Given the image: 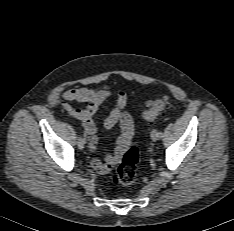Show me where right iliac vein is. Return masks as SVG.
<instances>
[{"instance_id": "63e3f726", "label": "right iliac vein", "mask_w": 234, "mask_h": 231, "mask_svg": "<svg viewBox=\"0 0 234 231\" xmlns=\"http://www.w3.org/2000/svg\"><path fill=\"white\" fill-rule=\"evenodd\" d=\"M77 144H78V148H79V149H83V148H84L85 141H84L83 139L78 138Z\"/></svg>"}]
</instances>
